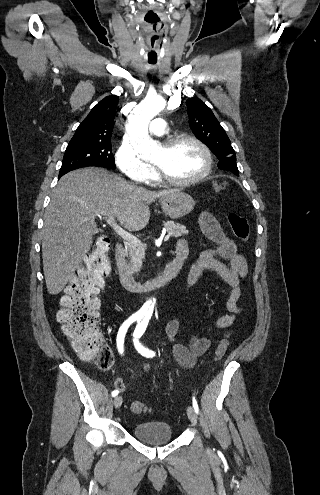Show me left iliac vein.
Listing matches in <instances>:
<instances>
[{
	"label": "left iliac vein",
	"mask_w": 320,
	"mask_h": 495,
	"mask_svg": "<svg viewBox=\"0 0 320 495\" xmlns=\"http://www.w3.org/2000/svg\"><path fill=\"white\" fill-rule=\"evenodd\" d=\"M187 415H188V418L191 421V423L193 425H197V415H196V412L192 406H189L187 408Z\"/></svg>",
	"instance_id": "1"
}]
</instances>
